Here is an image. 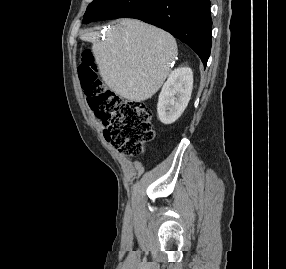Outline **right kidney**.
<instances>
[{
  "label": "right kidney",
  "mask_w": 286,
  "mask_h": 269,
  "mask_svg": "<svg viewBox=\"0 0 286 269\" xmlns=\"http://www.w3.org/2000/svg\"><path fill=\"white\" fill-rule=\"evenodd\" d=\"M193 89V72L188 67L171 72L159 95L157 113L163 124H172L188 105Z\"/></svg>",
  "instance_id": "ca27d5eb"
}]
</instances>
